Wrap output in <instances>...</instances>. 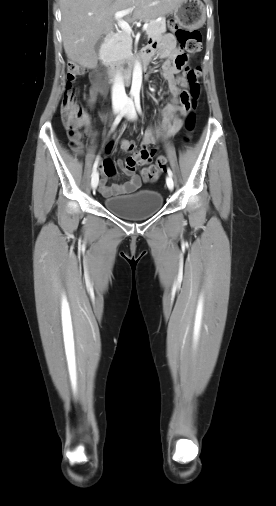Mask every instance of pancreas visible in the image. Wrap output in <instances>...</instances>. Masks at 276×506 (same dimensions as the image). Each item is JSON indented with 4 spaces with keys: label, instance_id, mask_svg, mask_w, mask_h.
I'll return each instance as SVG.
<instances>
[{
    "label": "pancreas",
    "instance_id": "pancreas-1",
    "mask_svg": "<svg viewBox=\"0 0 276 506\" xmlns=\"http://www.w3.org/2000/svg\"><path fill=\"white\" fill-rule=\"evenodd\" d=\"M166 31L164 21H151L148 23L146 34L149 38L158 37ZM132 39L126 32H120L113 36L107 44L105 60L115 62L131 55Z\"/></svg>",
    "mask_w": 276,
    "mask_h": 506
}]
</instances>
